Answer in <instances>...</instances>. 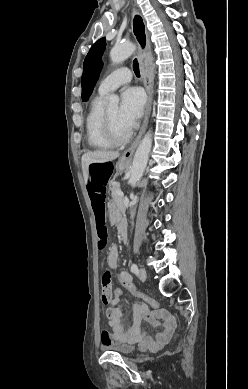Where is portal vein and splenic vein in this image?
I'll use <instances>...</instances> for the list:
<instances>
[{
    "instance_id": "portal-vein-and-splenic-vein-1",
    "label": "portal vein and splenic vein",
    "mask_w": 248,
    "mask_h": 389,
    "mask_svg": "<svg viewBox=\"0 0 248 389\" xmlns=\"http://www.w3.org/2000/svg\"><path fill=\"white\" fill-rule=\"evenodd\" d=\"M117 194L120 196H124V193L122 191H117Z\"/></svg>"
}]
</instances>
